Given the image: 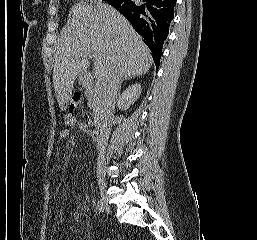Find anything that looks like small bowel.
<instances>
[{
  "label": "small bowel",
  "instance_id": "1",
  "mask_svg": "<svg viewBox=\"0 0 257 240\" xmlns=\"http://www.w3.org/2000/svg\"><path fill=\"white\" fill-rule=\"evenodd\" d=\"M69 135H70L69 129H63L59 133V139L60 140H65L69 137Z\"/></svg>",
  "mask_w": 257,
  "mask_h": 240
}]
</instances>
